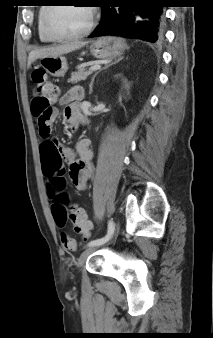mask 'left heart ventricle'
<instances>
[{"label":"left heart ventricle","instance_id":"b2bd125f","mask_svg":"<svg viewBox=\"0 0 213 338\" xmlns=\"http://www.w3.org/2000/svg\"><path fill=\"white\" fill-rule=\"evenodd\" d=\"M90 11L85 6H58L49 17V28L56 35L82 31L89 23Z\"/></svg>","mask_w":213,"mask_h":338}]
</instances>
